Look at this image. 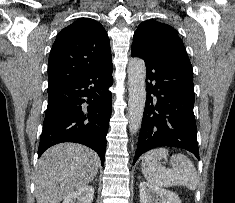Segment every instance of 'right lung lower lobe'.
<instances>
[{
	"mask_svg": "<svg viewBox=\"0 0 235 203\" xmlns=\"http://www.w3.org/2000/svg\"><path fill=\"white\" fill-rule=\"evenodd\" d=\"M111 60L48 91V106L38 157L61 142L84 144L105 160L106 135L112 109Z\"/></svg>",
	"mask_w": 235,
	"mask_h": 203,
	"instance_id": "1",
	"label": "right lung lower lobe"
}]
</instances>
